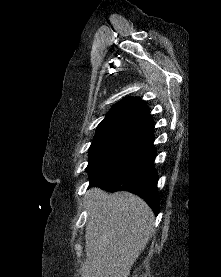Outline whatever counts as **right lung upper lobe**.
Returning a JSON list of instances; mask_svg holds the SVG:
<instances>
[{
  "label": "right lung upper lobe",
  "mask_w": 221,
  "mask_h": 277,
  "mask_svg": "<svg viewBox=\"0 0 221 277\" xmlns=\"http://www.w3.org/2000/svg\"><path fill=\"white\" fill-rule=\"evenodd\" d=\"M149 114L147 104L137 97H127L114 105L98 127L127 124L142 125Z\"/></svg>",
  "instance_id": "obj_1"
}]
</instances>
